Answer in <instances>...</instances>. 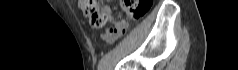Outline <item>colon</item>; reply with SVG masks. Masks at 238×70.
Masks as SVG:
<instances>
[{
  "label": "colon",
  "mask_w": 238,
  "mask_h": 70,
  "mask_svg": "<svg viewBox=\"0 0 238 70\" xmlns=\"http://www.w3.org/2000/svg\"><path fill=\"white\" fill-rule=\"evenodd\" d=\"M79 6L90 24L95 28H101L107 22V16L98 7L95 0H79ZM122 8L130 19L142 17L151 7L152 0H122ZM117 29H111V33H117Z\"/></svg>",
  "instance_id": "colon-1"
}]
</instances>
